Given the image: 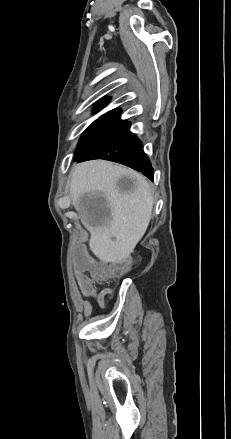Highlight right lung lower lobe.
Here are the masks:
<instances>
[{
  "label": "right lung lower lobe",
  "mask_w": 231,
  "mask_h": 439,
  "mask_svg": "<svg viewBox=\"0 0 231 439\" xmlns=\"http://www.w3.org/2000/svg\"><path fill=\"white\" fill-rule=\"evenodd\" d=\"M130 122L122 123L113 133L85 152L77 162L105 159L129 166L153 180V168L143 151L141 141L129 130Z\"/></svg>",
  "instance_id": "98d812e1"
}]
</instances>
